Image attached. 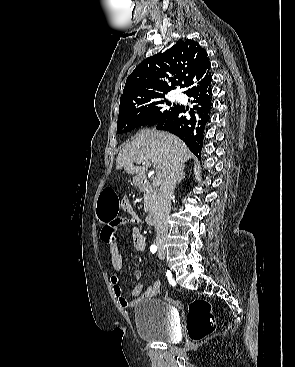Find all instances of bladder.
<instances>
[{"label":"bladder","instance_id":"bladder-1","mask_svg":"<svg viewBox=\"0 0 295 367\" xmlns=\"http://www.w3.org/2000/svg\"><path fill=\"white\" fill-rule=\"evenodd\" d=\"M176 310L162 299L147 298L135 309L136 331L148 341L170 343L177 338Z\"/></svg>","mask_w":295,"mask_h":367}]
</instances>
